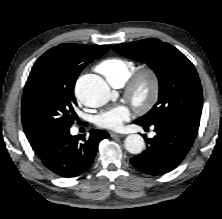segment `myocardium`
I'll return each mask as SVG.
<instances>
[{"label":"myocardium","mask_w":222,"mask_h":219,"mask_svg":"<svg viewBox=\"0 0 222 219\" xmlns=\"http://www.w3.org/2000/svg\"><path fill=\"white\" fill-rule=\"evenodd\" d=\"M146 85V95L138 96L141 85ZM160 93L159 74L151 67L142 68L134 72L126 81L124 95L138 110L146 112L153 108Z\"/></svg>","instance_id":"obj_1"}]
</instances>
